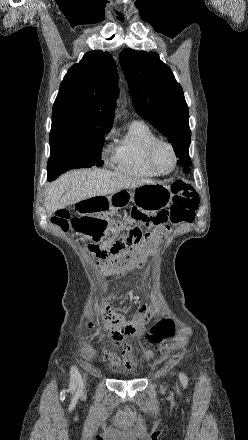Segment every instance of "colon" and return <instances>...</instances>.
I'll list each match as a JSON object with an SVG mask.
<instances>
[{
  "mask_svg": "<svg viewBox=\"0 0 248 440\" xmlns=\"http://www.w3.org/2000/svg\"><path fill=\"white\" fill-rule=\"evenodd\" d=\"M174 194L173 204L155 214H149L143 206H136L131 216L118 222L125 226L126 233L122 240L115 242L107 250L96 251L99 258L104 260L102 265L106 273L124 270L134 264H140L149 253L169 232L170 224L190 221L197 208V196L193 187L184 181L177 180L171 185ZM52 222L66 230L69 228V214L58 211ZM126 245H135V249L125 251ZM173 333L172 324L163 320L152 331L156 337H167Z\"/></svg>",
  "mask_w": 248,
  "mask_h": 440,
  "instance_id": "obj_1",
  "label": "colon"
}]
</instances>
